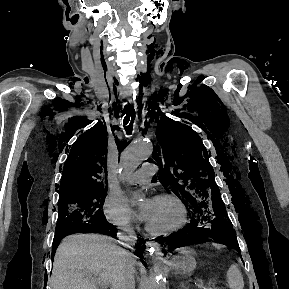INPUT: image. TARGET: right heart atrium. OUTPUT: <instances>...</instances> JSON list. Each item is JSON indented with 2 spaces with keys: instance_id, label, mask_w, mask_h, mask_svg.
<instances>
[{
  "instance_id": "1",
  "label": "right heart atrium",
  "mask_w": 289,
  "mask_h": 289,
  "mask_svg": "<svg viewBox=\"0 0 289 289\" xmlns=\"http://www.w3.org/2000/svg\"><path fill=\"white\" fill-rule=\"evenodd\" d=\"M104 213L113 226L124 231H130L135 225V218L116 194L110 193L104 203Z\"/></svg>"
}]
</instances>
